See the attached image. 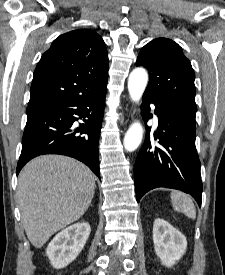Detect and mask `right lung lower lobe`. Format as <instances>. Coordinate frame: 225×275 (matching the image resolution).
Masks as SVG:
<instances>
[{
  "label": "right lung lower lobe",
  "mask_w": 225,
  "mask_h": 275,
  "mask_svg": "<svg viewBox=\"0 0 225 275\" xmlns=\"http://www.w3.org/2000/svg\"><path fill=\"white\" fill-rule=\"evenodd\" d=\"M107 82L97 93L27 110L17 174L32 158L61 154L85 163L99 178L98 142ZM83 119L79 127L74 125Z\"/></svg>",
  "instance_id": "98d812e1"
}]
</instances>
